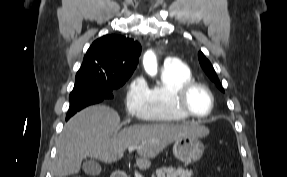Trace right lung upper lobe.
Returning <instances> with one entry per match:
<instances>
[{
  "instance_id": "1",
  "label": "right lung upper lobe",
  "mask_w": 287,
  "mask_h": 177,
  "mask_svg": "<svg viewBox=\"0 0 287 177\" xmlns=\"http://www.w3.org/2000/svg\"><path fill=\"white\" fill-rule=\"evenodd\" d=\"M140 53L137 41L120 35H105L87 50L80 70L95 74L104 83H114L132 75Z\"/></svg>"
}]
</instances>
